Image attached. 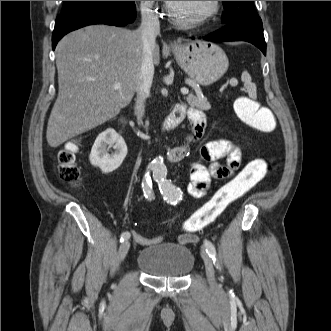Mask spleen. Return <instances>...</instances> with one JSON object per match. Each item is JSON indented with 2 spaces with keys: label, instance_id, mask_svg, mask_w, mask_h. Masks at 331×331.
<instances>
[{
  "label": "spleen",
  "instance_id": "3e777b00",
  "mask_svg": "<svg viewBox=\"0 0 331 331\" xmlns=\"http://www.w3.org/2000/svg\"><path fill=\"white\" fill-rule=\"evenodd\" d=\"M242 81L245 83V88L249 94V96L253 99H255L257 97V93H256V85L252 83L251 81V76L249 75V73L247 71H244L242 73Z\"/></svg>",
  "mask_w": 331,
  "mask_h": 331
}]
</instances>
